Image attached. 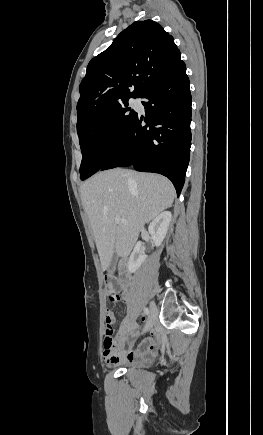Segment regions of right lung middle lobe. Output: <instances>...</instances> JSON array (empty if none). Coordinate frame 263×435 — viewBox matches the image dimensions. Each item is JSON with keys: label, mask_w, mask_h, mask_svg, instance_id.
Masks as SVG:
<instances>
[{"label": "right lung middle lobe", "mask_w": 263, "mask_h": 435, "mask_svg": "<svg viewBox=\"0 0 263 435\" xmlns=\"http://www.w3.org/2000/svg\"><path fill=\"white\" fill-rule=\"evenodd\" d=\"M127 106L128 100L113 104L90 122L77 128L83 156L80 166L81 180L101 169L134 124L138 114Z\"/></svg>", "instance_id": "right-lung-middle-lobe-1"}]
</instances>
